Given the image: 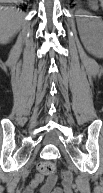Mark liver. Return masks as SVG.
Listing matches in <instances>:
<instances>
[{
    "label": "liver",
    "mask_w": 103,
    "mask_h": 193,
    "mask_svg": "<svg viewBox=\"0 0 103 193\" xmlns=\"http://www.w3.org/2000/svg\"><path fill=\"white\" fill-rule=\"evenodd\" d=\"M3 2H17V0H3ZM23 14L15 8L4 7L1 10V42L8 43L19 29Z\"/></svg>",
    "instance_id": "liver-1"
}]
</instances>
